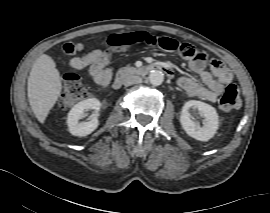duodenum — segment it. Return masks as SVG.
Instances as JSON below:
<instances>
[{
    "mask_svg": "<svg viewBox=\"0 0 270 213\" xmlns=\"http://www.w3.org/2000/svg\"><path fill=\"white\" fill-rule=\"evenodd\" d=\"M152 70H159L160 72L165 74L167 77H173L174 75L173 72L170 70L168 64L164 62H157V63L144 65L136 71V74L144 75L151 72ZM128 75H130V71L122 70L118 74V77L115 79L113 83L114 88H118L121 84L122 79L127 77Z\"/></svg>",
    "mask_w": 270,
    "mask_h": 213,
    "instance_id": "1",
    "label": "duodenum"
}]
</instances>
